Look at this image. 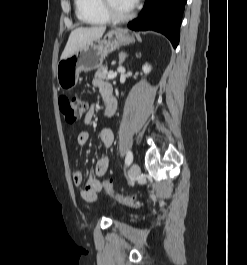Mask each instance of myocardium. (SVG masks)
<instances>
[{
    "instance_id": "f54148a6",
    "label": "myocardium",
    "mask_w": 247,
    "mask_h": 265,
    "mask_svg": "<svg viewBox=\"0 0 247 265\" xmlns=\"http://www.w3.org/2000/svg\"><path fill=\"white\" fill-rule=\"evenodd\" d=\"M102 10L109 20L114 22H125L131 19L134 15V8L125 14H120L110 5L108 0H101Z\"/></svg>"
}]
</instances>
